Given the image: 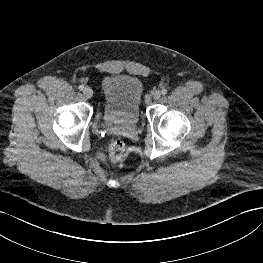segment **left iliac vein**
I'll return each mask as SVG.
<instances>
[{
    "instance_id": "4c4485c4",
    "label": "left iliac vein",
    "mask_w": 263,
    "mask_h": 263,
    "mask_svg": "<svg viewBox=\"0 0 263 263\" xmlns=\"http://www.w3.org/2000/svg\"><path fill=\"white\" fill-rule=\"evenodd\" d=\"M160 97H161V92H160V91H156V92L153 94V99H154V100H158Z\"/></svg>"
}]
</instances>
